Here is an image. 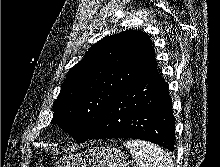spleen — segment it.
<instances>
[{"label": "spleen", "instance_id": "obj_1", "mask_svg": "<svg viewBox=\"0 0 220 167\" xmlns=\"http://www.w3.org/2000/svg\"><path fill=\"white\" fill-rule=\"evenodd\" d=\"M126 148L130 151L137 167H173L170 154L163 148L143 140H129Z\"/></svg>", "mask_w": 220, "mask_h": 167}]
</instances>
